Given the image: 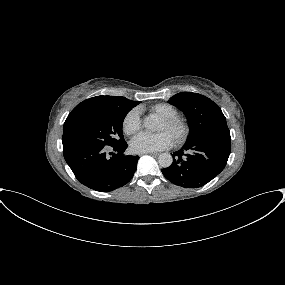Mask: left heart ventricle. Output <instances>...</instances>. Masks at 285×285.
Here are the masks:
<instances>
[{
	"instance_id": "b2bd125f",
	"label": "left heart ventricle",
	"mask_w": 285,
	"mask_h": 285,
	"mask_svg": "<svg viewBox=\"0 0 285 285\" xmlns=\"http://www.w3.org/2000/svg\"><path fill=\"white\" fill-rule=\"evenodd\" d=\"M156 132H166L168 133L171 137L173 136V131L171 129H169L168 127H166L164 125V123H162L161 121L158 123L157 128H156Z\"/></svg>"
}]
</instances>
